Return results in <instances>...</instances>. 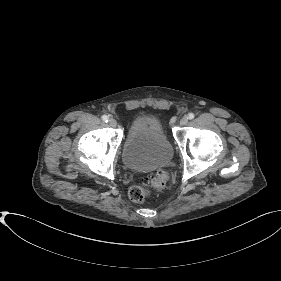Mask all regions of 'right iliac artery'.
<instances>
[{"label":"right iliac artery","mask_w":281,"mask_h":281,"mask_svg":"<svg viewBox=\"0 0 281 281\" xmlns=\"http://www.w3.org/2000/svg\"><path fill=\"white\" fill-rule=\"evenodd\" d=\"M102 120H103L104 122H108L109 118H108V116L103 115V116H102Z\"/></svg>","instance_id":"1"}]
</instances>
